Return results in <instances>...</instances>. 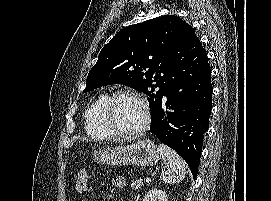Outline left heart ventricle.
Wrapping results in <instances>:
<instances>
[{
    "label": "left heart ventricle",
    "mask_w": 271,
    "mask_h": 201,
    "mask_svg": "<svg viewBox=\"0 0 271 201\" xmlns=\"http://www.w3.org/2000/svg\"><path fill=\"white\" fill-rule=\"evenodd\" d=\"M112 115L118 128L124 131L138 129L145 118L141 103L130 96H123L116 100L112 108Z\"/></svg>",
    "instance_id": "obj_1"
}]
</instances>
